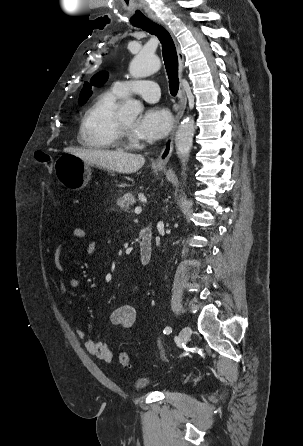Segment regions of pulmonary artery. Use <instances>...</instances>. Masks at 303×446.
I'll use <instances>...</instances> for the list:
<instances>
[{"instance_id":"e3ab8cb5","label":"pulmonary artery","mask_w":303,"mask_h":446,"mask_svg":"<svg viewBox=\"0 0 303 446\" xmlns=\"http://www.w3.org/2000/svg\"><path fill=\"white\" fill-rule=\"evenodd\" d=\"M113 87L123 97L134 94L150 103L158 101L160 97L158 84L151 80L117 81Z\"/></svg>"}]
</instances>
